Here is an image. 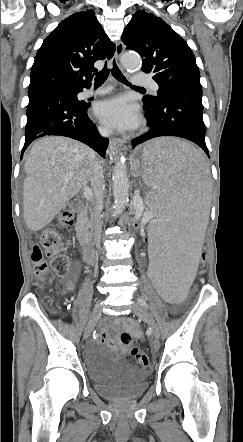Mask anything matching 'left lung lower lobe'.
<instances>
[{"instance_id": "left-lung-lower-lobe-1", "label": "left lung lower lobe", "mask_w": 243, "mask_h": 442, "mask_svg": "<svg viewBox=\"0 0 243 442\" xmlns=\"http://www.w3.org/2000/svg\"><path fill=\"white\" fill-rule=\"evenodd\" d=\"M150 130L132 140L135 147L160 136H177L200 146L207 156L206 128L203 122L202 86L194 83H178L163 92L155 107L143 106Z\"/></svg>"}]
</instances>
